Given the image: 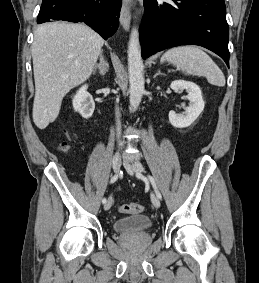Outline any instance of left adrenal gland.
Segmentation results:
<instances>
[{
	"mask_svg": "<svg viewBox=\"0 0 259 283\" xmlns=\"http://www.w3.org/2000/svg\"><path fill=\"white\" fill-rule=\"evenodd\" d=\"M157 75H162V73H161L160 70H157V73L154 75V78H155Z\"/></svg>",
	"mask_w": 259,
	"mask_h": 283,
	"instance_id": "obj_1",
	"label": "left adrenal gland"
}]
</instances>
